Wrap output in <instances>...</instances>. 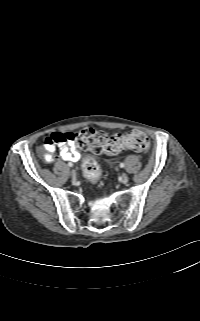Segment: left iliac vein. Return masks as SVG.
<instances>
[{"label": "left iliac vein", "instance_id": "left-iliac-vein-1", "mask_svg": "<svg viewBox=\"0 0 200 321\" xmlns=\"http://www.w3.org/2000/svg\"><path fill=\"white\" fill-rule=\"evenodd\" d=\"M128 180H129L128 175H127L126 173H123V174L121 175V181H122L123 183H127Z\"/></svg>", "mask_w": 200, "mask_h": 321}]
</instances>
